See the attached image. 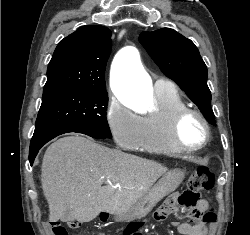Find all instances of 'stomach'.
<instances>
[{
  "instance_id": "1",
  "label": "stomach",
  "mask_w": 250,
  "mask_h": 235,
  "mask_svg": "<svg viewBox=\"0 0 250 235\" xmlns=\"http://www.w3.org/2000/svg\"><path fill=\"white\" fill-rule=\"evenodd\" d=\"M184 178L185 173L180 169L167 172L128 212L118 215V220L129 221L145 217L159 201L175 191Z\"/></svg>"
}]
</instances>
